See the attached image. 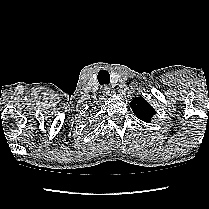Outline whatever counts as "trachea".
Returning a JSON list of instances; mask_svg holds the SVG:
<instances>
[{
  "instance_id": "3493384b",
  "label": "trachea",
  "mask_w": 209,
  "mask_h": 209,
  "mask_svg": "<svg viewBox=\"0 0 209 209\" xmlns=\"http://www.w3.org/2000/svg\"><path fill=\"white\" fill-rule=\"evenodd\" d=\"M97 79L100 85H109L110 83V75L105 70H100Z\"/></svg>"
}]
</instances>
